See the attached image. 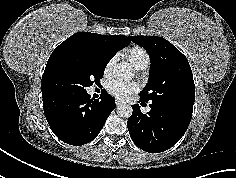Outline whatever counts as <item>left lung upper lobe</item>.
Listing matches in <instances>:
<instances>
[{
    "label": "left lung upper lobe",
    "mask_w": 236,
    "mask_h": 178,
    "mask_svg": "<svg viewBox=\"0 0 236 178\" xmlns=\"http://www.w3.org/2000/svg\"><path fill=\"white\" fill-rule=\"evenodd\" d=\"M150 57L149 81L140 93L142 101L193 108L195 85L187 58L175 46L157 36H129Z\"/></svg>",
    "instance_id": "5c2ea615"
}]
</instances>
